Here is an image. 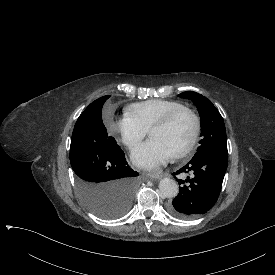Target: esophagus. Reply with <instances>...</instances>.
I'll list each match as a JSON object with an SVG mask.
<instances>
[{
    "mask_svg": "<svg viewBox=\"0 0 275 275\" xmlns=\"http://www.w3.org/2000/svg\"><path fill=\"white\" fill-rule=\"evenodd\" d=\"M150 176H151L152 178H154V179H160L161 177L164 176V172L161 171V170H159V171H157V172H155V173H151Z\"/></svg>",
    "mask_w": 275,
    "mask_h": 275,
    "instance_id": "obj_1",
    "label": "esophagus"
}]
</instances>
